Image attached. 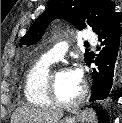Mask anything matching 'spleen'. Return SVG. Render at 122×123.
<instances>
[{
    "mask_svg": "<svg viewBox=\"0 0 122 123\" xmlns=\"http://www.w3.org/2000/svg\"><path fill=\"white\" fill-rule=\"evenodd\" d=\"M87 123H97L96 113L93 109H88L83 112Z\"/></svg>",
    "mask_w": 122,
    "mask_h": 123,
    "instance_id": "spleen-1",
    "label": "spleen"
}]
</instances>
